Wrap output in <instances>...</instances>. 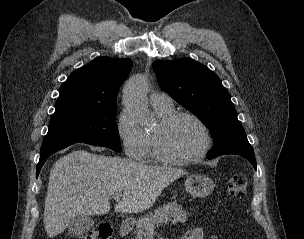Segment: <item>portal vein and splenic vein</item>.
<instances>
[{
	"label": "portal vein and splenic vein",
	"instance_id": "1",
	"mask_svg": "<svg viewBox=\"0 0 304 239\" xmlns=\"http://www.w3.org/2000/svg\"><path fill=\"white\" fill-rule=\"evenodd\" d=\"M122 197V193H115L112 195V198L116 200L117 202L120 201V198ZM149 230H153V228H150Z\"/></svg>",
	"mask_w": 304,
	"mask_h": 239
}]
</instances>
